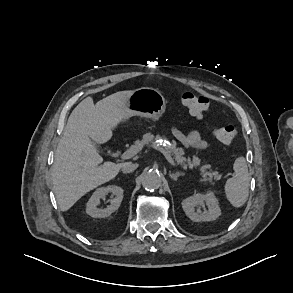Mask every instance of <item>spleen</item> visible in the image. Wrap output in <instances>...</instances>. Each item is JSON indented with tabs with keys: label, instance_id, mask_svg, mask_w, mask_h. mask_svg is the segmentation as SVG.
<instances>
[{
	"label": "spleen",
	"instance_id": "3e777b00",
	"mask_svg": "<svg viewBox=\"0 0 293 293\" xmlns=\"http://www.w3.org/2000/svg\"><path fill=\"white\" fill-rule=\"evenodd\" d=\"M233 169L235 174L229 178L225 184V194L229 202L234 207H241L249 196V174L248 167L244 157H238Z\"/></svg>",
	"mask_w": 293,
	"mask_h": 293
}]
</instances>
